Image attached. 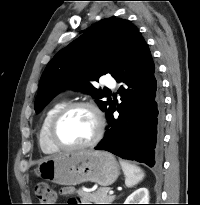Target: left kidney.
Returning <instances> with one entry per match:
<instances>
[{"label": "left kidney", "instance_id": "5707ae66", "mask_svg": "<svg viewBox=\"0 0 200 205\" xmlns=\"http://www.w3.org/2000/svg\"><path fill=\"white\" fill-rule=\"evenodd\" d=\"M124 204H149V191L147 188L142 187L135 190L130 196L127 197Z\"/></svg>", "mask_w": 200, "mask_h": 205}]
</instances>
